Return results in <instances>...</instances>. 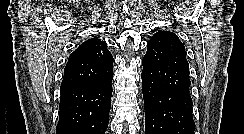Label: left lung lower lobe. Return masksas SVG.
I'll return each mask as SVG.
<instances>
[{
	"mask_svg": "<svg viewBox=\"0 0 244 134\" xmlns=\"http://www.w3.org/2000/svg\"><path fill=\"white\" fill-rule=\"evenodd\" d=\"M142 83L146 134H194L189 89L161 87L144 70Z\"/></svg>",
	"mask_w": 244,
	"mask_h": 134,
	"instance_id": "obj_1",
	"label": "left lung lower lobe"
}]
</instances>
